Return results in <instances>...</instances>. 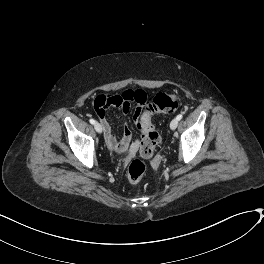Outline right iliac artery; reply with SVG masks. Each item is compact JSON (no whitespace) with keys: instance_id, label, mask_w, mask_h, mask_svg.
I'll return each instance as SVG.
<instances>
[{"instance_id":"82829eb1","label":"right iliac artery","mask_w":264,"mask_h":264,"mask_svg":"<svg viewBox=\"0 0 264 264\" xmlns=\"http://www.w3.org/2000/svg\"><path fill=\"white\" fill-rule=\"evenodd\" d=\"M89 122H90L91 124H93V125L96 123V121H95L94 119H92V118L89 120Z\"/></svg>"}]
</instances>
